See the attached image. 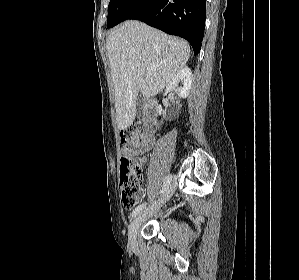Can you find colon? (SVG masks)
<instances>
[{"mask_svg":"<svg viewBox=\"0 0 299 280\" xmlns=\"http://www.w3.org/2000/svg\"><path fill=\"white\" fill-rule=\"evenodd\" d=\"M122 146L129 147L141 142L140 129L130 125L120 133ZM143 182L142 165L123 155L120 160V186L122 203L126 209H132L138 202Z\"/></svg>","mask_w":299,"mask_h":280,"instance_id":"5ec220e1","label":"colon"}]
</instances>
